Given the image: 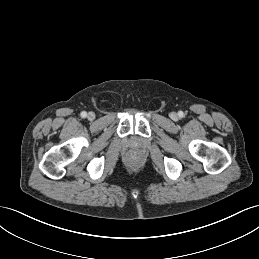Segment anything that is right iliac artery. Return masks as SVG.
<instances>
[{"label": "right iliac artery", "instance_id": "1", "mask_svg": "<svg viewBox=\"0 0 259 259\" xmlns=\"http://www.w3.org/2000/svg\"><path fill=\"white\" fill-rule=\"evenodd\" d=\"M80 115H81L82 118H85L87 116V113L85 111H83V112H81Z\"/></svg>", "mask_w": 259, "mask_h": 259}]
</instances>
